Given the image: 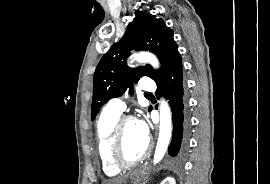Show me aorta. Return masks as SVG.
<instances>
[{
	"label": "aorta",
	"mask_w": 270,
	"mask_h": 184,
	"mask_svg": "<svg viewBox=\"0 0 270 184\" xmlns=\"http://www.w3.org/2000/svg\"><path fill=\"white\" fill-rule=\"evenodd\" d=\"M133 61L141 63H150L153 67H158L157 58L148 52H140L133 56ZM160 125L159 136L154 153V163H158L164 157L172 135V120L170 108L164 100H161L160 106Z\"/></svg>",
	"instance_id": "obj_1"
}]
</instances>
